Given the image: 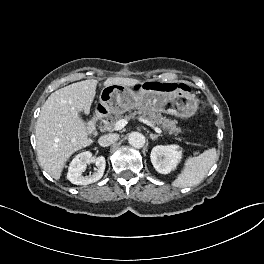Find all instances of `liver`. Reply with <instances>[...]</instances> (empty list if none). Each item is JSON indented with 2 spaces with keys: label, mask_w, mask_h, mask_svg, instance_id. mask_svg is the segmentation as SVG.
Segmentation results:
<instances>
[{
  "label": "liver",
  "mask_w": 264,
  "mask_h": 264,
  "mask_svg": "<svg viewBox=\"0 0 264 264\" xmlns=\"http://www.w3.org/2000/svg\"><path fill=\"white\" fill-rule=\"evenodd\" d=\"M98 81L91 79L70 84L53 92L41 108L36 124V150L40 166L59 180L69 157L93 143L79 113H90ZM133 87L139 81L111 77L103 86Z\"/></svg>",
  "instance_id": "6515ba94"
}]
</instances>
